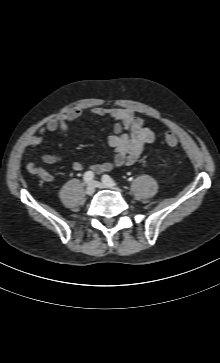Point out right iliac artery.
I'll use <instances>...</instances> for the list:
<instances>
[{
	"label": "right iliac artery",
	"instance_id": "obj_1",
	"mask_svg": "<svg viewBox=\"0 0 220 363\" xmlns=\"http://www.w3.org/2000/svg\"><path fill=\"white\" fill-rule=\"evenodd\" d=\"M94 178V173L91 172V171H87L85 174H84V181L86 183H91L92 179Z\"/></svg>",
	"mask_w": 220,
	"mask_h": 363
}]
</instances>
